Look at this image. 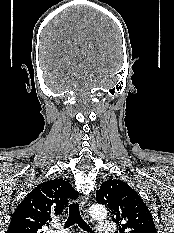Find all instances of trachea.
<instances>
[{
  "label": "trachea",
  "mask_w": 174,
  "mask_h": 233,
  "mask_svg": "<svg viewBox=\"0 0 174 233\" xmlns=\"http://www.w3.org/2000/svg\"><path fill=\"white\" fill-rule=\"evenodd\" d=\"M74 224H78L80 228L87 232H92L90 226L83 220L80 214L79 204L77 202H73L69 205V216L67 221L65 222V228L70 227Z\"/></svg>",
  "instance_id": "obj_1"
}]
</instances>
